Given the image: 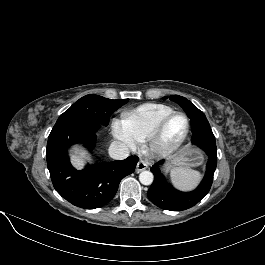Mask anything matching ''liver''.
Here are the masks:
<instances>
[{"mask_svg":"<svg viewBox=\"0 0 265 265\" xmlns=\"http://www.w3.org/2000/svg\"><path fill=\"white\" fill-rule=\"evenodd\" d=\"M71 163L76 169L83 168L85 164L86 152L78 147L72 150Z\"/></svg>","mask_w":265,"mask_h":265,"instance_id":"1","label":"liver"}]
</instances>
